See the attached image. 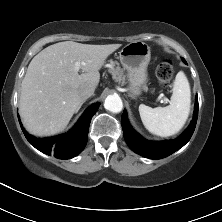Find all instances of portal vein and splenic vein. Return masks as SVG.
Returning a JSON list of instances; mask_svg holds the SVG:
<instances>
[{
    "label": "portal vein and splenic vein",
    "mask_w": 222,
    "mask_h": 222,
    "mask_svg": "<svg viewBox=\"0 0 222 222\" xmlns=\"http://www.w3.org/2000/svg\"><path fill=\"white\" fill-rule=\"evenodd\" d=\"M83 64H84V63H83ZM76 66H77V70H79V64H78V63L76 64Z\"/></svg>",
    "instance_id": "portal-vein-and-splenic-vein-1"
}]
</instances>
